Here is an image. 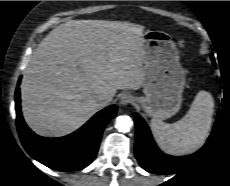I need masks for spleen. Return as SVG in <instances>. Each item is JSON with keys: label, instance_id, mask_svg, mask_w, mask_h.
I'll list each match as a JSON object with an SVG mask.
<instances>
[{"label": "spleen", "instance_id": "3e777b00", "mask_svg": "<svg viewBox=\"0 0 230 186\" xmlns=\"http://www.w3.org/2000/svg\"><path fill=\"white\" fill-rule=\"evenodd\" d=\"M214 100L207 91H199L188 113L173 124L153 118L151 129L159 146L174 155L198 150L207 139L212 124Z\"/></svg>", "mask_w": 230, "mask_h": 186}]
</instances>
